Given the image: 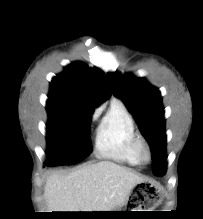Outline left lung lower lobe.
<instances>
[{
  "instance_id": "obj_1",
  "label": "left lung lower lobe",
  "mask_w": 203,
  "mask_h": 219,
  "mask_svg": "<svg viewBox=\"0 0 203 219\" xmlns=\"http://www.w3.org/2000/svg\"><path fill=\"white\" fill-rule=\"evenodd\" d=\"M165 174V170L164 171H161L160 172V175H158V176H162V175H164Z\"/></svg>"
}]
</instances>
